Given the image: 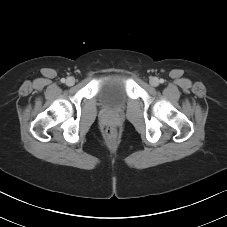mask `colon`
<instances>
[{
    "mask_svg": "<svg viewBox=\"0 0 227 227\" xmlns=\"http://www.w3.org/2000/svg\"><path fill=\"white\" fill-rule=\"evenodd\" d=\"M107 138L113 140L116 137V130L112 125H107L104 129Z\"/></svg>",
    "mask_w": 227,
    "mask_h": 227,
    "instance_id": "obj_1",
    "label": "colon"
}]
</instances>
